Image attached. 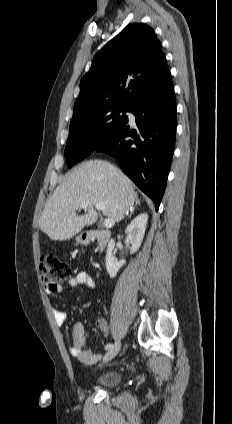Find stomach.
Here are the masks:
<instances>
[{
  "mask_svg": "<svg viewBox=\"0 0 232 424\" xmlns=\"http://www.w3.org/2000/svg\"><path fill=\"white\" fill-rule=\"evenodd\" d=\"M76 241H77V243L82 242L83 241L82 236H78L77 239H76Z\"/></svg>",
  "mask_w": 232,
  "mask_h": 424,
  "instance_id": "obj_1",
  "label": "stomach"
}]
</instances>
